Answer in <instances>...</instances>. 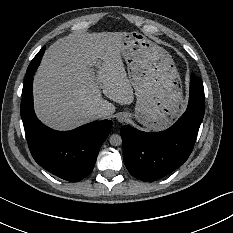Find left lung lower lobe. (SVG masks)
<instances>
[{
    "mask_svg": "<svg viewBox=\"0 0 233 233\" xmlns=\"http://www.w3.org/2000/svg\"><path fill=\"white\" fill-rule=\"evenodd\" d=\"M204 112L203 82L192 74L187 110L172 127L146 133L122 126L123 160L129 173L152 182L181 166L193 150Z\"/></svg>",
    "mask_w": 233,
    "mask_h": 233,
    "instance_id": "0a47b994",
    "label": "left lung lower lobe"
}]
</instances>
